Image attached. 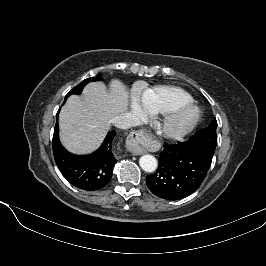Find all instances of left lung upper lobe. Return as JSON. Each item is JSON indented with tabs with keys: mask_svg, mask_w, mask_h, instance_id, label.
Listing matches in <instances>:
<instances>
[{
	"mask_svg": "<svg viewBox=\"0 0 266 266\" xmlns=\"http://www.w3.org/2000/svg\"><path fill=\"white\" fill-rule=\"evenodd\" d=\"M216 128L217 121L213 120L207 128L198 131L191 138V143L201 150L209 159L213 158L217 145Z\"/></svg>",
	"mask_w": 266,
	"mask_h": 266,
	"instance_id": "1",
	"label": "left lung upper lobe"
}]
</instances>
